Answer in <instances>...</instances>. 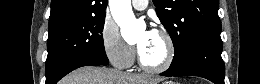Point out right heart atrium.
<instances>
[{
  "label": "right heart atrium",
  "mask_w": 260,
  "mask_h": 84,
  "mask_svg": "<svg viewBox=\"0 0 260 84\" xmlns=\"http://www.w3.org/2000/svg\"><path fill=\"white\" fill-rule=\"evenodd\" d=\"M100 38L105 56L115 67L126 69L133 64L135 48L124 40L118 25L109 17L102 24Z\"/></svg>",
  "instance_id": "1"
}]
</instances>
